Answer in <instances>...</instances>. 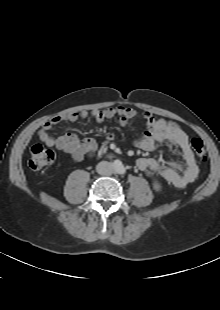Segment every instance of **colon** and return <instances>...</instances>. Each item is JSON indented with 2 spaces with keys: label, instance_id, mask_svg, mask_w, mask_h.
I'll use <instances>...</instances> for the list:
<instances>
[{
  "label": "colon",
  "instance_id": "obj_1",
  "mask_svg": "<svg viewBox=\"0 0 220 310\" xmlns=\"http://www.w3.org/2000/svg\"><path fill=\"white\" fill-rule=\"evenodd\" d=\"M191 147L199 159H205L206 148L201 139L194 138L191 141ZM54 159L55 154L52 150L46 148L41 143H35L30 148V159L28 164L32 170H40L51 165L54 162Z\"/></svg>",
  "mask_w": 220,
  "mask_h": 310
}]
</instances>
